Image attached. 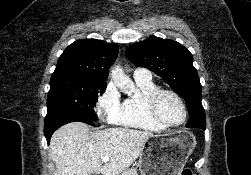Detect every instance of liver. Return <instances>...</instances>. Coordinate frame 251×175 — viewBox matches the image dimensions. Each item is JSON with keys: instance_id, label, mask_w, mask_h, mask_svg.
<instances>
[{"instance_id": "6515ba94", "label": "liver", "mask_w": 251, "mask_h": 175, "mask_svg": "<svg viewBox=\"0 0 251 175\" xmlns=\"http://www.w3.org/2000/svg\"><path fill=\"white\" fill-rule=\"evenodd\" d=\"M152 135L150 131L127 127L90 131L87 123H66L54 131L50 141L55 175H118L139 157L145 141ZM105 155L110 159L103 163Z\"/></svg>"}]
</instances>
